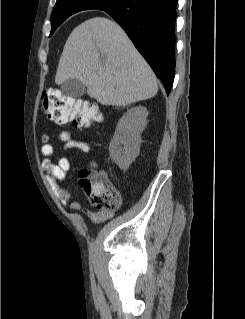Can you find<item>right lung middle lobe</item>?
<instances>
[{
  "label": "right lung middle lobe",
  "mask_w": 245,
  "mask_h": 319,
  "mask_svg": "<svg viewBox=\"0 0 245 319\" xmlns=\"http://www.w3.org/2000/svg\"><path fill=\"white\" fill-rule=\"evenodd\" d=\"M121 1L122 0H83L78 6H80L82 10L105 9L111 8ZM73 3L75 2L67 0H59L56 2L53 10L50 36L67 17L72 15L71 9Z\"/></svg>",
  "instance_id": "dd1d6c3e"
}]
</instances>
